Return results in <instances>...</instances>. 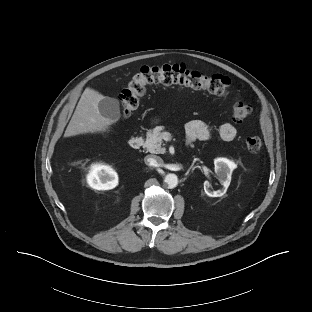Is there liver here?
<instances>
[{
  "instance_id": "liver-1",
  "label": "liver",
  "mask_w": 312,
  "mask_h": 312,
  "mask_svg": "<svg viewBox=\"0 0 312 312\" xmlns=\"http://www.w3.org/2000/svg\"><path fill=\"white\" fill-rule=\"evenodd\" d=\"M103 95L86 88L78 102L76 110L66 128L64 137L86 133L106 132L112 121L101 115L98 104Z\"/></svg>"
}]
</instances>
